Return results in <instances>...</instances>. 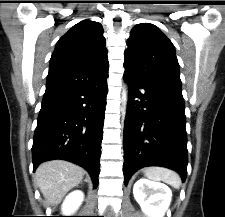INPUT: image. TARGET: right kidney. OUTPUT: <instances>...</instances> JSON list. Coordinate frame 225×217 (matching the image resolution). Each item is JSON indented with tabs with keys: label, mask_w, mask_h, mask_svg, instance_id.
Wrapping results in <instances>:
<instances>
[{
	"label": "right kidney",
	"mask_w": 225,
	"mask_h": 217,
	"mask_svg": "<svg viewBox=\"0 0 225 217\" xmlns=\"http://www.w3.org/2000/svg\"><path fill=\"white\" fill-rule=\"evenodd\" d=\"M84 199V194L81 190H75L66 196L61 210L64 216H71L75 213Z\"/></svg>",
	"instance_id": "right-kidney-1"
}]
</instances>
